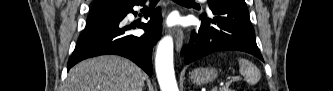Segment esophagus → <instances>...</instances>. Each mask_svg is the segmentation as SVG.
Instances as JSON below:
<instances>
[{
    "instance_id": "esophagus-1",
    "label": "esophagus",
    "mask_w": 333,
    "mask_h": 91,
    "mask_svg": "<svg viewBox=\"0 0 333 91\" xmlns=\"http://www.w3.org/2000/svg\"><path fill=\"white\" fill-rule=\"evenodd\" d=\"M175 45H176V50L179 52L182 45H183V38L184 34L183 31L179 28L175 30Z\"/></svg>"
}]
</instances>
